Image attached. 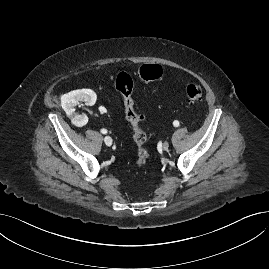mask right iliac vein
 <instances>
[{"mask_svg":"<svg viewBox=\"0 0 269 269\" xmlns=\"http://www.w3.org/2000/svg\"><path fill=\"white\" fill-rule=\"evenodd\" d=\"M104 142H105V144H106L107 146H111V145H112V139H111V137L106 136V137L104 138Z\"/></svg>","mask_w":269,"mask_h":269,"instance_id":"1","label":"right iliac vein"}]
</instances>
